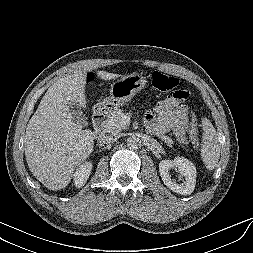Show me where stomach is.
Returning <instances> with one entry per match:
<instances>
[{
	"label": "stomach",
	"instance_id": "obj_1",
	"mask_svg": "<svg viewBox=\"0 0 253 253\" xmlns=\"http://www.w3.org/2000/svg\"><path fill=\"white\" fill-rule=\"evenodd\" d=\"M145 84L146 80L140 74L132 73L123 76L111 85L109 97L97 104V112L111 114L125 102L130 101L137 92L145 87Z\"/></svg>",
	"mask_w": 253,
	"mask_h": 253
}]
</instances>
